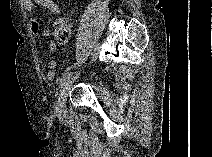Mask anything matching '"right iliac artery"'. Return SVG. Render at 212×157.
<instances>
[{"mask_svg": "<svg viewBox=\"0 0 212 157\" xmlns=\"http://www.w3.org/2000/svg\"><path fill=\"white\" fill-rule=\"evenodd\" d=\"M98 53H99V44L96 45V47L92 53L91 61L96 60ZM70 75H71L70 72H67L63 75V77L60 79V86H62L66 82V80L70 78ZM56 108H57V106H56Z\"/></svg>", "mask_w": 212, "mask_h": 157, "instance_id": "right-iliac-artery-1", "label": "right iliac artery"}]
</instances>
